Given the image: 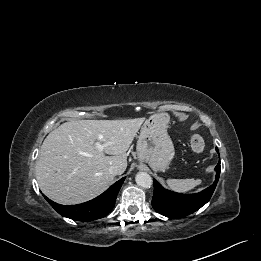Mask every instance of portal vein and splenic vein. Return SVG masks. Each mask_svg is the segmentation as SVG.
Returning a JSON list of instances; mask_svg holds the SVG:
<instances>
[{"mask_svg": "<svg viewBox=\"0 0 261 261\" xmlns=\"http://www.w3.org/2000/svg\"><path fill=\"white\" fill-rule=\"evenodd\" d=\"M100 139H102V137H100ZM109 144H113V142H109ZM95 146L99 151H103L104 149V145H102L99 141L95 143Z\"/></svg>", "mask_w": 261, "mask_h": 261, "instance_id": "1", "label": "portal vein and splenic vein"}]
</instances>
